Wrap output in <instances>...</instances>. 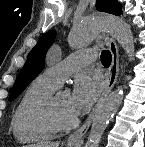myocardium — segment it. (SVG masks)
I'll return each mask as SVG.
<instances>
[{"label":"myocardium","instance_id":"f54148a6","mask_svg":"<svg viewBox=\"0 0 145 147\" xmlns=\"http://www.w3.org/2000/svg\"><path fill=\"white\" fill-rule=\"evenodd\" d=\"M57 96L58 94L52 95L47 103V111L51 120L60 130L74 128L78 124L77 117L68 119L60 113L57 105Z\"/></svg>","mask_w":145,"mask_h":147}]
</instances>
